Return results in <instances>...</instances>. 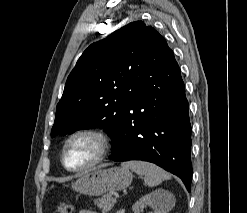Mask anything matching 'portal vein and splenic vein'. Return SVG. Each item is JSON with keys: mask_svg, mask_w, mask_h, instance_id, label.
Listing matches in <instances>:
<instances>
[{"mask_svg": "<svg viewBox=\"0 0 247 213\" xmlns=\"http://www.w3.org/2000/svg\"><path fill=\"white\" fill-rule=\"evenodd\" d=\"M112 201H113V203H115L116 202V198L112 197Z\"/></svg>", "mask_w": 247, "mask_h": 213, "instance_id": "1", "label": "portal vein and splenic vein"}]
</instances>
